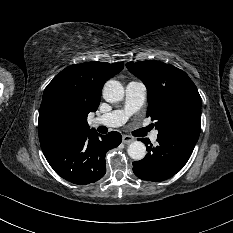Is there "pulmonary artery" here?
I'll use <instances>...</instances> for the list:
<instances>
[{"mask_svg": "<svg viewBox=\"0 0 233 233\" xmlns=\"http://www.w3.org/2000/svg\"><path fill=\"white\" fill-rule=\"evenodd\" d=\"M146 98V87L141 82H129L125 89V105L123 109L114 110L102 116L95 118L96 125L107 127H117L124 124L127 119L138 111L144 104ZM158 138L157 132H153L151 140L156 141Z\"/></svg>", "mask_w": 233, "mask_h": 233, "instance_id": "pulmonary-artery-1", "label": "pulmonary artery"}]
</instances>
